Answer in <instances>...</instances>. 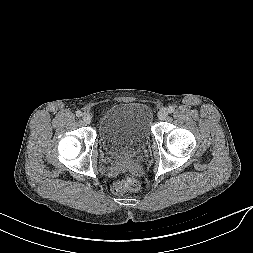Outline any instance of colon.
I'll return each instance as SVG.
<instances>
[{
  "label": "colon",
  "mask_w": 253,
  "mask_h": 253,
  "mask_svg": "<svg viewBox=\"0 0 253 253\" xmlns=\"http://www.w3.org/2000/svg\"><path fill=\"white\" fill-rule=\"evenodd\" d=\"M139 187V181L134 177L128 176L114 183L112 192L116 195H122L130 191H135Z\"/></svg>",
  "instance_id": "5ec220e1"
}]
</instances>
